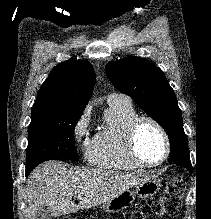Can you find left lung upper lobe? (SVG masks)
Masks as SVG:
<instances>
[{
	"label": "left lung upper lobe",
	"mask_w": 211,
	"mask_h": 219,
	"mask_svg": "<svg viewBox=\"0 0 211 219\" xmlns=\"http://www.w3.org/2000/svg\"><path fill=\"white\" fill-rule=\"evenodd\" d=\"M105 71L114 87L129 95L166 131L170 141L169 157L189 156L181 110L162 70L142 58L129 56L109 62Z\"/></svg>",
	"instance_id": "1"
}]
</instances>
